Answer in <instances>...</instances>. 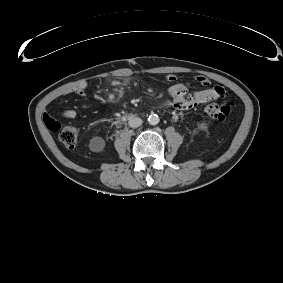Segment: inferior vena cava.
Here are the masks:
<instances>
[{
  "label": "inferior vena cava",
  "mask_w": 283,
  "mask_h": 283,
  "mask_svg": "<svg viewBox=\"0 0 283 283\" xmlns=\"http://www.w3.org/2000/svg\"><path fill=\"white\" fill-rule=\"evenodd\" d=\"M128 124H129V126L132 127V128H137V127L141 126V124H142V119L139 118V117H135V116L130 117V119H129V121H128Z\"/></svg>",
  "instance_id": "obj_1"
}]
</instances>
